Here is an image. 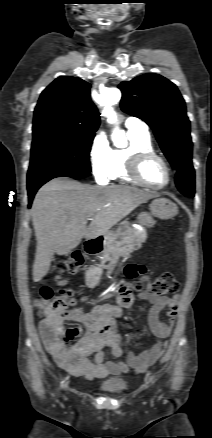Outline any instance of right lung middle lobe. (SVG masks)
<instances>
[{
	"mask_svg": "<svg viewBox=\"0 0 212 438\" xmlns=\"http://www.w3.org/2000/svg\"><path fill=\"white\" fill-rule=\"evenodd\" d=\"M95 134L63 129L33 132L28 173L43 170L91 171L89 152Z\"/></svg>",
	"mask_w": 212,
	"mask_h": 438,
	"instance_id": "dd1d6c3e",
	"label": "right lung middle lobe"
}]
</instances>
